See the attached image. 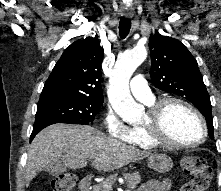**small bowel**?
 Returning <instances> with one entry per match:
<instances>
[{
	"label": "small bowel",
	"instance_id": "small-bowel-1",
	"mask_svg": "<svg viewBox=\"0 0 221 191\" xmlns=\"http://www.w3.org/2000/svg\"><path fill=\"white\" fill-rule=\"evenodd\" d=\"M172 188L173 183L170 180H148L143 183L137 191H172Z\"/></svg>",
	"mask_w": 221,
	"mask_h": 191
}]
</instances>
